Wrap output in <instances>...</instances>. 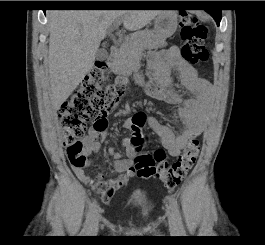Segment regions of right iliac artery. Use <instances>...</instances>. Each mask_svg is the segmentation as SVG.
<instances>
[{"label":"right iliac artery","instance_id":"obj_1","mask_svg":"<svg viewBox=\"0 0 265 245\" xmlns=\"http://www.w3.org/2000/svg\"><path fill=\"white\" fill-rule=\"evenodd\" d=\"M96 206H97L96 200L92 201L88 206V210L86 213V220L82 229V235L84 236L89 235L90 226L95 216Z\"/></svg>","mask_w":265,"mask_h":245}]
</instances>
